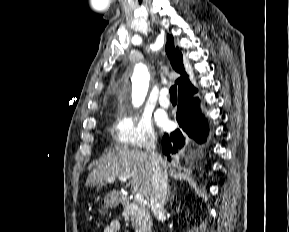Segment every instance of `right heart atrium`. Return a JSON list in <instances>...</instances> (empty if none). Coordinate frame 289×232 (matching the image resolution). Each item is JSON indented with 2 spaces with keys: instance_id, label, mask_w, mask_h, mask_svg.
Segmentation results:
<instances>
[{
  "instance_id": "1",
  "label": "right heart atrium",
  "mask_w": 289,
  "mask_h": 232,
  "mask_svg": "<svg viewBox=\"0 0 289 232\" xmlns=\"http://www.w3.org/2000/svg\"><path fill=\"white\" fill-rule=\"evenodd\" d=\"M115 144L125 149H148L157 139L156 132L146 117H119L112 128Z\"/></svg>"
}]
</instances>
